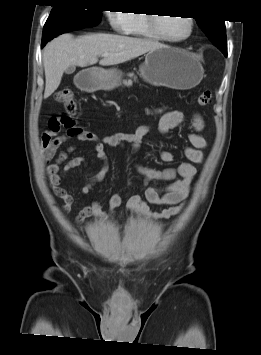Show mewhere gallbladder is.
<instances>
[{
  "mask_svg": "<svg viewBox=\"0 0 261 355\" xmlns=\"http://www.w3.org/2000/svg\"><path fill=\"white\" fill-rule=\"evenodd\" d=\"M75 66H69L67 69H66V73L67 74H71V73H73L74 71H75Z\"/></svg>",
  "mask_w": 261,
  "mask_h": 355,
  "instance_id": "1",
  "label": "gallbladder"
}]
</instances>
